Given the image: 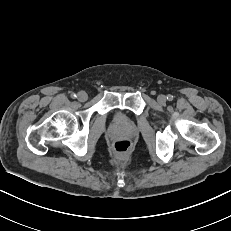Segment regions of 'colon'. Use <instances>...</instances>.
Returning a JSON list of instances; mask_svg holds the SVG:
<instances>
[{"instance_id":"1","label":"colon","mask_w":231,"mask_h":231,"mask_svg":"<svg viewBox=\"0 0 231 231\" xmlns=\"http://www.w3.org/2000/svg\"><path fill=\"white\" fill-rule=\"evenodd\" d=\"M131 147H132V144L127 139L117 140L113 144V148H114L115 152L118 154H121V155L128 153L130 151Z\"/></svg>"}]
</instances>
